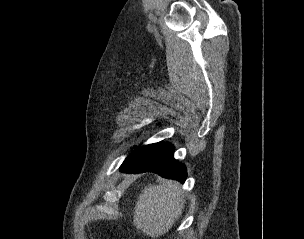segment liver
<instances>
[{"instance_id": "1", "label": "liver", "mask_w": 304, "mask_h": 239, "mask_svg": "<svg viewBox=\"0 0 304 239\" xmlns=\"http://www.w3.org/2000/svg\"><path fill=\"white\" fill-rule=\"evenodd\" d=\"M184 206L180 184L164 179L159 185H148L139 195L133 223L147 236L158 238L172 228Z\"/></svg>"}]
</instances>
